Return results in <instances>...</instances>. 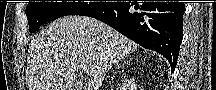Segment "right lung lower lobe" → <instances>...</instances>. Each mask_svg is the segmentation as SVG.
I'll use <instances>...</instances> for the list:
<instances>
[{
    "label": "right lung lower lobe",
    "mask_w": 216,
    "mask_h": 90,
    "mask_svg": "<svg viewBox=\"0 0 216 90\" xmlns=\"http://www.w3.org/2000/svg\"><path fill=\"white\" fill-rule=\"evenodd\" d=\"M183 2H111L80 15L96 18L139 45L162 54L175 69L183 39Z\"/></svg>",
    "instance_id": "obj_1"
}]
</instances>
